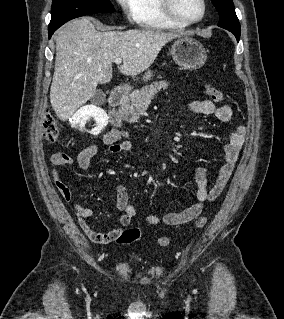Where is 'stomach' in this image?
Segmentation results:
<instances>
[{"label": "stomach", "instance_id": "obj_1", "mask_svg": "<svg viewBox=\"0 0 284 319\" xmlns=\"http://www.w3.org/2000/svg\"><path fill=\"white\" fill-rule=\"evenodd\" d=\"M173 60L183 69L194 70L201 67L207 59V51L197 40L190 37H178L170 49ZM152 77L151 71L145 73L143 79Z\"/></svg>", "mask_w": 284, "mask_h": 319}]
</instances>
